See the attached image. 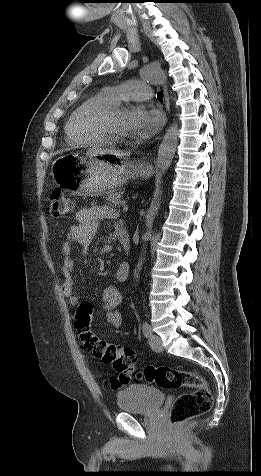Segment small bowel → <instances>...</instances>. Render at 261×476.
Returning <instances> with one entry per match:
<instances>
[{
  "label": "small bowel",
  "instance_id": "c3829d8e",
  "mask_svg": "<svg viewBox=\"0 0 261 476\" xmlns=\"http://www.w3.org/2000/svg\"><path fill=\"white\" fill-rule=\"evenodd\" d=\"M117 218V212L109 206H93L82 208L75 214V223L71 225L65 241L62 244V292L69 299L72 306L80 303L79 297L74 294V264L71 257L73 244H78L85 255L97 233L99 223L106 219ZM128 277V265L120 264L116 271V279L123 282ZM106 320L113 328L123 325V314L120 307L123 302L121 290L116 285L106 287L102 294Z\"/></svg>",
  "mask_w": 261,
  "mask_h": 476
}]
</instances>
